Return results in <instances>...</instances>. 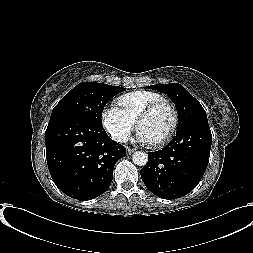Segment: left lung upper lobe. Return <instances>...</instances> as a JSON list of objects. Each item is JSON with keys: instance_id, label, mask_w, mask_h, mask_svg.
Masks as SVG:
<instances>
[{"instance_id": "obj_1", "label": "left lung upper lobe", "mask_w": 253, "mask_h": 253, "mask_svg": "<svg viewBox=\"0 0 253 253\" xmlns=\"http://www.w3.org/2000/svg\"><path fill=\"white\" fill-rule=\"evenodd\" d=\"M148 88L167 94L173 101L178 112L177 128H181L191 122H208L206 112L199 101L180 84H159L148 86Z\"/></svg>"}]
</instances>
